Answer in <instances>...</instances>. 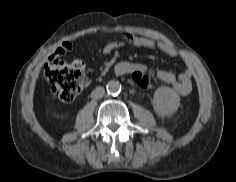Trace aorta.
Wrapping results in <instances>:
<instances>
[{
  "instance_id": "1",
  "label": "aorta",
  "mask_w": 236,
  "mask_h": 182,
  "mask_svg": "<svg viewBox=\"0 0 236 182\" xmlns=\"http://www.w3.org/2000/svg\"><path fill=\"white\" fill-rule=\"evenodd\" d=\"M106 88L109 94H118L121 91V84L116 80H111L107 83Z\"/></svg>"
}]
</instances>
